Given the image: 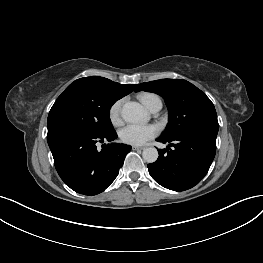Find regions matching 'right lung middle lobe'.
<instances>
[{
	"mask_svg": "<svg viewBox=\"0 0 263 263\" xmlns=\"http://www.w3.org/2000/svg\"><path fill=\"white\" fill-rule=\"evenodd\" d=\"M118 99L84 83L73 82L57 98L47 120L48 134L84 131L107 135L115 130L109 110Z\"/></svg>",
	"mask_w": 263,
	"mask_h": 263,
	"instance_id": "obj_1",
	"label": "right lung middle lobe"
}]
</instances>
